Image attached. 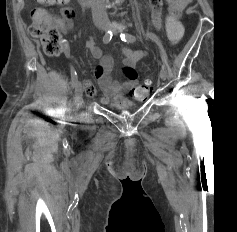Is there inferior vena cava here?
Here are the masks:
<instances>
[{"instance_id": "inferior-vena-cava-1", "label": "inferior vena cava", "mask_w": 237, "mask_h": 232, "mask_svg": "<svg viewBox=\"0 0 237 232\" xmlns=\"http://www.w3.org/2000/svg\"><path fill=\"white\" fill-rule=\"evenodd\" d=\"M94 22L106 21L108 19L104 0H89Z\"/></svg>"}]
</instances>
